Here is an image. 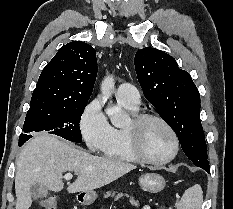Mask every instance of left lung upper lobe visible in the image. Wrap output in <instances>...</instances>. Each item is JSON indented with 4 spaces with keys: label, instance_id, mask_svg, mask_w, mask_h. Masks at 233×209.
Instances as JSON below:
<instances>
[{
    "label": "left lung upper lobe",
    "instance_id": "obj_1",
    "mask_svg": "<svg viewBox=\"0 0 233 209\" xmlns=\"http://www.w3.org/2000/svg\"><path fill=\"white\" fill-rule=\"evenodd\" d=\"M146 99L175 131L187 157L199 167L209 165L200 121V94L190 74L156 48L139 50L134 59Z\"/></svg>",
    "mask_w": 233,
    "mask_h": 209
}]
</instances>
